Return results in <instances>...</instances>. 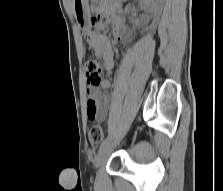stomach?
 I'll list each match as a JSON object with an SVG mask.
<instances>
[{
    "instance_id": "1",
    "label": "stomach",
    "mask_w": 223,
    "mask_h": 191,
    "mask_svg": "<svg viewBox=\"0 0 223 191\" xmlns=\"http://www.w3.org/2000/svg\"><path fill=\"white\" fill-rule=\"evenodd\" d=\"M73 13L79 27L88 31L91 27L89 0H72Z\"/></svg>"
}]
</instances>
